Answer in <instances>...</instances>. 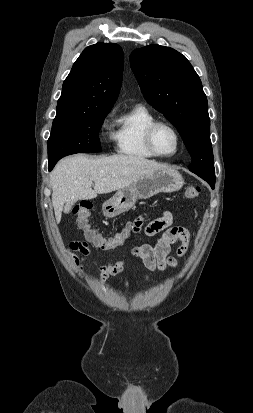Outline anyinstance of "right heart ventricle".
Instances as JSON below:
<instances>
[{
	"label": "right heart ventricle",
	"instance_id": "right-heart-ventricle-1",
	"mask_svg": "<svg viewBox=\"0 0 253 413\" xmlns=\"http://www.w3.org/2000/svg\"><path fill=\"white\" fill-rule=\"evenodd\" d=\"M155 120L154 115L143 106H135L121 116L114 134L117 152L136 159L154 157L146 147L144 133L147 126Z\"/></svg>",
	"mask_w": 253,
	"mask_h": 413
}]
</instances>
